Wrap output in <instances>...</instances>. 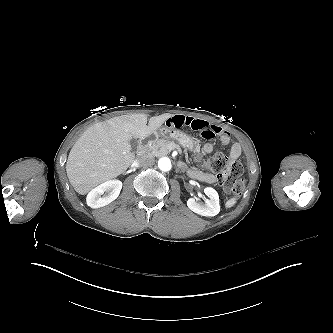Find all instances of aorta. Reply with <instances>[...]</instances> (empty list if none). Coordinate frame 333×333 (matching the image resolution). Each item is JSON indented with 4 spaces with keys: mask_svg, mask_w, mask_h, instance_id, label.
<instances>
[{
    "mask_svg": "<svg viewBox=\"0 0 333 333\" xmlns=\"http://www.w3.org/2000/svg\"><path fill=\"white\" fill-rule=\"evenodd\" d=\"M158 167L161 171L164 172L171 170L172 164L170 159L167 157L160 158L158 161Z\"/></svg>",
    "mask_w": 333,
    "mask_h": 333,
    "instance_id": "obj_1",
    "label": "aorta"
}]
</instances>
